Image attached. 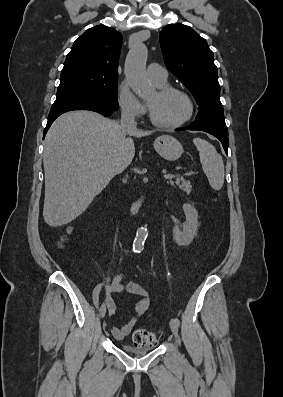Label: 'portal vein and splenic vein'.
Returning a JSON list of instances; mask_svg holds the SVG:
<instances>
[{
    "label": "portal vein and splenic vein",
    "mask_w": 283,
    "mask_h": 397,
    "mask_svg": "<svg viewBox=\"0 0 283 397\" xmlns=\"http://www.w3.org/2000/svg\"><path fill=\"white\" fill-rule=\"evenodd\" d=\"M176 176H177L176 174H171V173H168V174L164 173V175H163V177L165 179H172V178H174Z\"/></svg>",
    "instance_id": "obj_1"
}]
</instances>
